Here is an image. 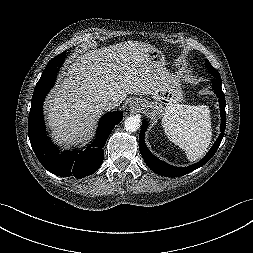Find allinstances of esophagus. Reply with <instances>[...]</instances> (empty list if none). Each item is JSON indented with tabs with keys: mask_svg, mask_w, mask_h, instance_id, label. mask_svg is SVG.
<instances>
[{
	"mask_svg": "<svg viewBox=\"0 0 253 253\" xmlns=\"http://www.w3.org/2000/svg\"><path fill=\"white\" fill-rule=\"evenodd\" d=\"M130 108L132 109V110H134V109H136V110H139L140 109V107H139V109L136 107V105L135 104H130Z\"/></svg>",
	"mask_w": 253,
	"mask_h": 253,
	"instance_id": "34e87169",
	"label": "esophagus"
}]
</instances>
